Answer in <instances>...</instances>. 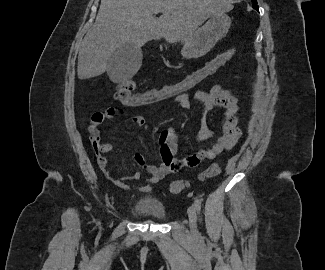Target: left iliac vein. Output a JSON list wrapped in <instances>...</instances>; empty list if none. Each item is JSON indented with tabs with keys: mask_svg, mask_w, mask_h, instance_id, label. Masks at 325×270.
I'll use <instances>...</instances> for the list:
<instances>
[{
	"mask_svg": "<svg viewBox=\"0 0 325 270\" xmlns=\"http://www.w3.org/2000/svg\"><path fill=\"white\" fill-rule=\"evenodd\" d=\"M188 217H189V224H190L191 231L194 234H197L198 233V230H197V213H196V209H195V207L193 205L188 208Z\"/></svg>",
	"mask_w": 325,
	"mask_h": 270,
	"instance_id": "left-iliac-vein-1",
	"label": "left iliac vein"
}]
</instances>
